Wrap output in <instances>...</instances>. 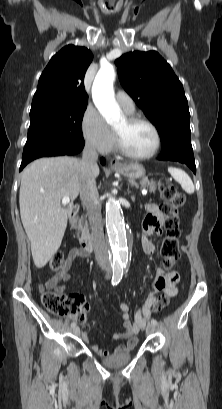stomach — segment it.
<instances>
[{
  "instance_id": "0dacf381",
  "label": "stomach",
  "mask_w": 222,
  "mask_h": 409,
  "mask_svg": "<svg viewBox=\"0 0 222 409\" xmlns=\"http://www.w3.org/2000/svg\"><path fill=\"white\" fill-rule=\"evenodd\" d=\"M114 171L131 179H140L145 177V169L139 163L123 164L120 167H114Z\"/></svg>"
}]
</instances>
